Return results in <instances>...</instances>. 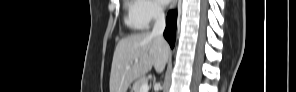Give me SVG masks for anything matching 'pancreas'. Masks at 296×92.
I'll return each instance as SVG.
<instances>
[{"label":"pancreas","instance_id":"1","mask_svg":"<svg viewBox=\"0 0 296 92\" xmlns=\"http://www.w3.org/2000/svg\"><path fill=\"white\" fill-rule=\"evenodd\" d=\"M147 82H148V79L146 77H140L134 82L132 87V92H140L141 86Z\"/></svg>","mask_w":296,"mask_h":92}]
</instances>
